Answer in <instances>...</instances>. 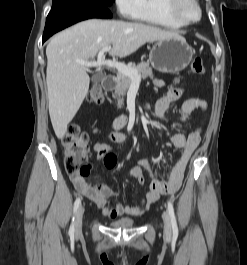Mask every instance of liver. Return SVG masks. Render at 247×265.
<instances>
[{
  "label": "liver",
  "instance_id": "obj_1",
  "mask_svg": "<svg viewBox=\"0 0 247 265\" xmlns=\"http://www.w3.org/2000/svg\"><path fill=\"white\" fill-rule=\"evenodd\" d=\"M179 34L136 22L90 19L56 34L46 48L49 114L57 138L64 137L88 93L90 78L78 61H88L105 46L126 57L147 42Z\"/></svg>",
  "mask_w": 247,
  "mask_h": 265
}]
</instances>
